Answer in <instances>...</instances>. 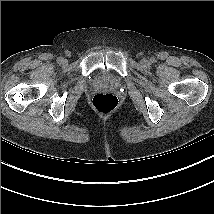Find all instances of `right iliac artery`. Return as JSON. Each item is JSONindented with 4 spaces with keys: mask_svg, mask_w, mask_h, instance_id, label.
Segmentation results:
<instances>
[{
    "mask_svg": "<svg viewBox=\"0 0 214 214\" xmlns=\"http://www.w3.org/2000/svg\"><path fill=\"white\" fill-rule=\"evenodd\" d=\"M57 62H58L59 64H61V63L63 62V58H62V57H59V58L57 59Z\"/></svg>",
    "mask_w": 214,
    "mask_h": 214,
    "instance_id": "right-iliac-artery-1",
    "label": "right iliac artery"
}]
</instances>
